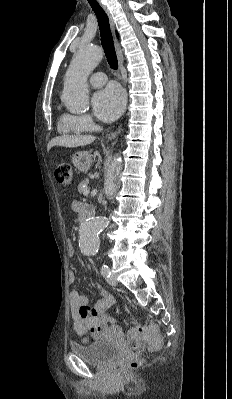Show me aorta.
Returning a JSON list of instances; mask_svg holds the SVG:
<instances>
[{
	"label": "aorta",
	"mask_w": 232,
	"mask_h": 399,
	"mask_svg": "<svg viewBox=\"0 0 232 399\" xmlns=\"http://www.w3.org/2000/svg\"><path fill=\"white\" fill-rule=\"evenodd\" d=\"M103 57L98 46H81L72 59L66 73L61 100L71 112L86 110L89 106L87 79ZM122 170V160L115 156L105 176L104 189L107 198L116 192V180ZM106 217H93L80 227V250L85 255H95L100 247L99 234L108 226Z\"/></svg>",
	"instance_id": "aorta-1"
}]
</instances>
